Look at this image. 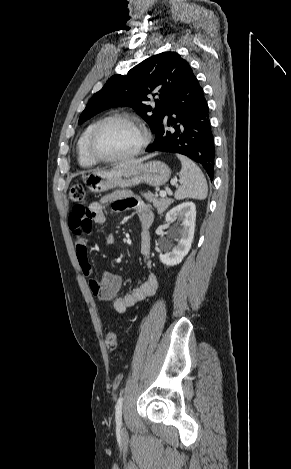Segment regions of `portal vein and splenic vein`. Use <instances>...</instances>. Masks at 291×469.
I'll return each instance as SVG.
<instances>
[{
  "mask_svg": "<svg viewBox=\"0 0 291 469\" xmlns=\"http://www.w3.org/2000/svg\"><path fill=\"white\" fill-rule=\"evenodd\" d=\"M180 182H181V181H180ZM171 183H172V185H176V184H177V179L172 180ZM166 195H167V192H166V191H160V196H161V197H166Z\"/></svg>",
  "mask_w": 291,
  "mask_h": 469,
  "instance_id": "1",
  "label": "portal vein and splenic vein"
}]
</instances>
